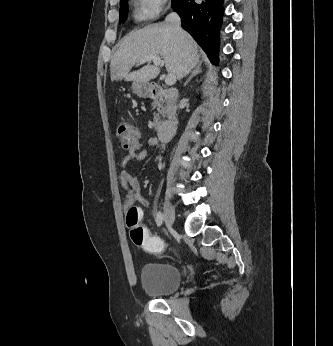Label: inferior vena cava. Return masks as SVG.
I'll return each instance as SVG.
<instances>
[{
	"label": "inferior vena cava",
	"mask_w": 333,
	"mask_h": 346,
	"mask_svg": "<svg viewBox=\"0 0 333 346\" xmlns=\"http://www.w3.org/2000/svg\"><path fill=\"white\" fill-rule=\"evenodd\" d=\"M166 22L169 23L170 25H172L174 27V29L178 32H181V19L179 17V15L175 12L170 13L167 17H166Z\"/></svg>",
	"instance_id": "inferior-vena-cava-1"
}]
</instances>
